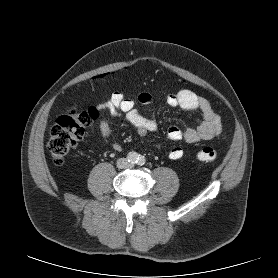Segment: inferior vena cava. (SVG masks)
I'll return each mask as SVG.
<instances>
[{"label": "inferior vena cava", "instance_id": "obj_1", "mask_svg": "<svg viewBox=\"0 0 278 278\" xmlns=\"http://www.w3.org/2000/svg\"><path fill=\"white\" fill-rule=\"evenodd\" d=\"M117 166L119 168H129L130 163H128V161L125 158H121L117 161Z\"/></svg>", "mask_w": 278, "mask_h": 278}]
</instances>
